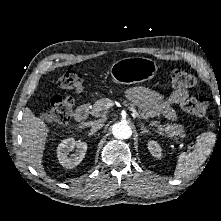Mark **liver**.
I'll list each match as a JSON object with an SVG mask.
<instances>
[{"label":"liver","mask_w":221,"mask_h":221,"mask_svg":"<svg viewBox=\"0 0 221 221\" xmlns=\"http://www.w3.org/2000/svg\"><path fill=\"white\" fill-rule=\"evenodd\" d=\"M90 125L91 123H82L78 128H85ZM48 131L49 129L42 119L36 117L29 108L24 110L21 134L27 161L43 175L45 172L42 157Z\"/></svg>","instance_id":"1"}]
</instances>
